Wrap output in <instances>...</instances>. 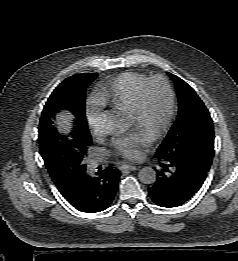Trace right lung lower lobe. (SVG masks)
Wrapping results in <instances>:
<instances>
[{
    "mask_svg": "<svg viewBox=\"0 0 238 261\" xmlns=\"http://www.w3.org/2000/svg\"><path fill=\"white\" fill-rule=\"evenodd\" d=\"M97 176H90L86 171L74 181L61 186L58 190L76 209L83 212H100L111 205L118 189L120 172L108 167L99 170Z\"/></svg>",
    "mask_w": 238,
    "mask_h": 261,
    "instance_id": "98d812e1",
    "label": "right lung lower lobe"
}]
</instances>
